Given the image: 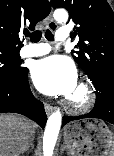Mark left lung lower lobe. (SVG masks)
I'll use <instances>...</instances> for the list:
<instances>
[{
	"label": "left lung lower lobe",
	"mask_w": 114,
	"mask_h": 156,
	"mask_svg": "<svg viewBox=\"0 0 114 156\" xmlns=\"http://www.w3.org/2000/svg\"><path fill=\"white\" fill-rule=\"evenodd\" d=\"M96 88V103L93 110L77 117H63L62 126L66 123L83 118H98L114 124V81L102 82Z\"/></svg>",
	"instance_id": "1"
}]
</instances>
